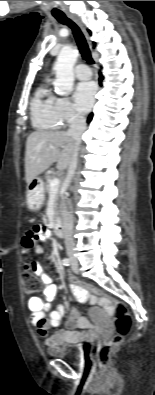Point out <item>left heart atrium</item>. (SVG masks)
I'll return each instance as SVG.
<instances>
[{
  "mask_svg": "<svg viewBox=\"0 0 155 395\" xmlns=\"http://www.w3.org/2000/svg\"><path fill=\"white\" fill-rule=\"evenodd\" d=\"M97 87L93 81L79 83L74 92V100L79 111L87 112L92 107Z\"/></svg>",
  "mask_w": 155,
  "mask_h": 395,
  "instance_id": "1",
  "label": "left heart atrium"
}]
</instances>
